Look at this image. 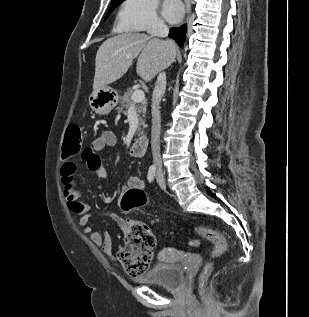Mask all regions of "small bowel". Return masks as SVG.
Returning a JSON list of instances; mask_svg holds the SVG:
<instances>
[{
	"instance_id": "small-bowel-1",
	"label": "small bowel",
	"mask_w": 309,
	"mask_h": 317,
	"mask_svg": "<svg viewBox=\"0 0 309 317\" xmlns=\"http://www.w3.org/2000/svg\"><path fill=\"white\" fill-rule=\"evenodd\" d=\"M117 143V136L111 130L104 131L101 136L96 138L92 145L85 148L81 158L87 165L89 171L102 179L107 178V171L103 166L102 159L99 155L107 147L114 146ZM77 166L73 161L64 162L61 167V176L64 187V197L67 202V207L74 215L78 217V225L82 227L84 234L88 235L91 241L101 248L102 252L106 254L110 259L116 261L117 258L113 252L112 240L109 233L105 231H97L90 224L91 213L90 205L82 200L81 191L76 180ZM145 184L138 177H130L127 184L122 188L123 195L133 189L143 190ZM120 227L122 232H125L128 224L117 212L107 213Z\"/></svg>"
}]
</instances>
